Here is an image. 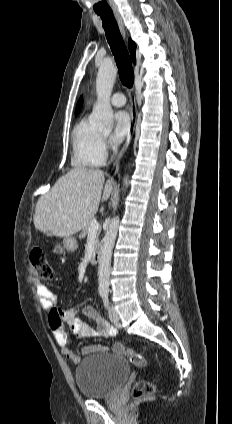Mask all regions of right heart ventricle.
<instances>
[{
	"label": "right heart ventricle",
	"mask_w": 232,
	"mask_h": 424,
	"mask_svg": "<svg viewBox=\"0 0 232 424\" xmlns=\"http://www.w3.org/2000/svg\"><path fill=\"white\" fill-rule=\"evenodd\" d=\"M105 160L106 152L101 131L87 116L82 117L73 129L72 165L78 169L92 168L102 166Z\"/></svg>",
	"instance_id": "right-heart-ventricle-1"
}]
</instances>
